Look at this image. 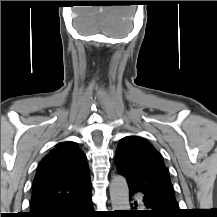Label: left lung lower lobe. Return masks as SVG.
I'll use <instances>...</instances> for the list:
<instances>
[{
	"label": "left lung lower lobe",
	"instance_id": "0a47b994",
	"mask_svg": "<svg viewBox=\"0 0 217 217\" xmlns=\"http://www.w3.org/2000/svg\"><path fill=\"white\" fill-rule=\"evenodd\" d=\"M137 191L131 190L130 197ZM143 202L147 208L145 211H132L129 215L148 217H178L179 211L174 209L167 201L150 195H143ZM136 204V203H135Z\"/></svg>",
	"mask_w": 217,
	"mask_h": 217
}]
</instances>
